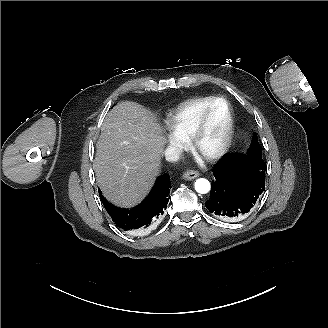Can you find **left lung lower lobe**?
<instances>
[{
	"label": "left lung lower lobe",
	"mask_w": 328,
	"mask_h": 328,
	"mask_svg": "<svg viewBox=\"0 0 328 328\" xmlns=\"http://www.w3.org/2000/svg\"><path fill=\"white\" fill-rule=\"evenodd\" d=\"M260 145L247 154L229 153L213 168L206 208L223 220L246 215L265 189L266 163Z\"/></svg>",
	"instance_id": "0a47b994"
}]
</instances>
